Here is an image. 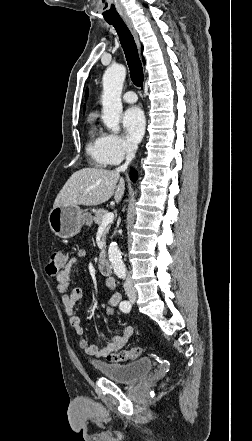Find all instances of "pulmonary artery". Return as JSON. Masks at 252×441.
<instances>
[{"label":"pulmonary artery","instance_id":"pulmonary-artery-1","mask_svg":"<svg viewBox=\"0 0 252 441\" xmlns=\"http://www.w3.org/2000/svg\"><path fill=\"white\" fill-rule=\"evenodd\" d=\"M122 99L126 103H135L137 101V95L133 91H128L122 96Z\"/></svg>","mask_w":252,"mask_h":441}]
</instances>
